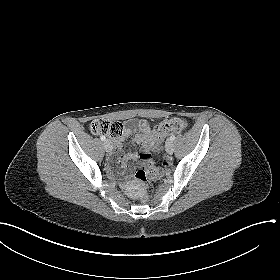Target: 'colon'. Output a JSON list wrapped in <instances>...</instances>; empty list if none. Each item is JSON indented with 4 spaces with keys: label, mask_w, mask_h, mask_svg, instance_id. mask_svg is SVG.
I'll list each match as a JSON object with an SVG mask.
<instances>
[{
    "label": "colon",
    "mask_w": 280,
    "mask_h": 280,
    "mask_svg": "<svg viewBox=\"0 0 280 280\" xmlns=\"http://www.w3.org/2000/svg\"><path fill=\"white\" fill-rule=\"evenodd\" d=\"M122 127V124H120L118 121L95 119L90 123L89 129L91 133L95 135L102 134L115 138L122 134ZM184 127L185 123L181 118L173 117L164 120L154 129V137L156 139H160L164 135L180 132L184 129ZM162 175L163 172L160 168L147 161L143 167L136 171L134 177L136 181L142 185H145L147 178L158 179ZM140 200L143 203H147L149 201L148 193L141 191Z\"/></svg>",
    "instance_id": "obj_1"
}]
</instances>
